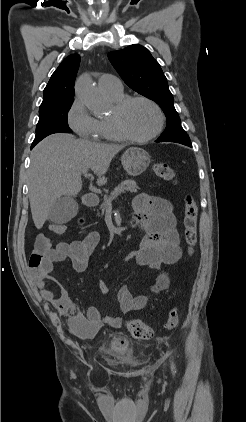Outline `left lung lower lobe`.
<instances>
[{
  "label": "left lung lower lobe",
  "instance_id": "left-lung-lower-lobe-1",
  "mask_svg": "<svg viewBox=\"0 0 246 422\" xmlns=\"http://www.w3.org/2000/svg\"><path fill=\"white\" fill-rule=\"evenodd\" d=\"M157 142V141H156ZM184 145H187V146H189V147H191L192 145H191V143H185Z\"/></svg>",
  "mask_w": 246,
  "mask_h": 422
}]
</instances>
